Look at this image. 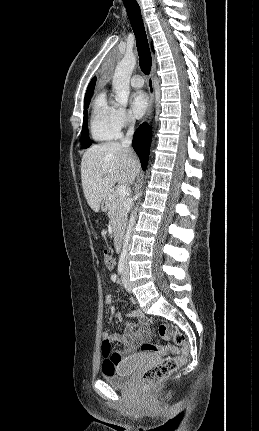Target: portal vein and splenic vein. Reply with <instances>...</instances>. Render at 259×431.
<instances>
[{
	"mask_svg": "<svg viewBox=\"0 0 259 431\" xmlns=\"http://www.w3.org/2000/svg\"><path fill=\"white\" fill-rule=\"evenodd\" d=\"M116 193L118 196L124 197L128 194V190H127L126 186L121 185L117 188Z\"/></svg>",
	"mask_w": 259,
	"mask_h": 431,
	"instance_id": "portal-vein-and-splenic-vein-1",
	"label": "portal vein and splenic vein"
}]
</instances>
